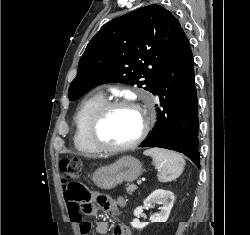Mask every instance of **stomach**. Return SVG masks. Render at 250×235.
<instances>
[{"mask_svg": "<svg viewBox=\"0 0 250 235\" xmlns=\"http://www.w3.org/2000/svg\"><path fill=\"white\" fill-rule=\"evenodd\" d=\"M142 170L137 158L123 156L111 165L98 168L93 174V182L103 190H111L123 182H133Z\"/></svg>", "mask_w": 250, "mask_h": 235, "instance_id": "1", "label": "stomach"}]
</instances>
